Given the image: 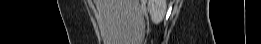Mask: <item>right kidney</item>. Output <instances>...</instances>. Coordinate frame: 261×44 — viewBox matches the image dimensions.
<instances>
[{
	"label": "right kidney",
	"instance_id": "obj_1",
	"mask_svg": "<svg viewBox=\"0 0 261 44\" xmlns=\"http://www.w3.org/2000/svg\"><path fill=\"white\" fill-rule=\"evenodd\" d=\"M147 8L151 16V20L155 24H158L165 16L167 9L166 0H149Z\"/></svg>",
	"mask_w": 261,
	"mask_h": 44
}]
</instances>
